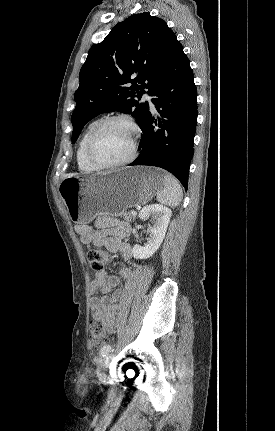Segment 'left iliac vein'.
Returning a JSON list of instances; mask_svg holds the SVG:
<instances>
[{
  "instance_id": "left-iliac-vein-1",
  "label": "left iliac vein",
  "mask_w": 275,
  "mask_h": 431,
  "mask_svg": "<svg viewBox=\"0 0 275 431\" xmlns=\"http://www.w3.org/2000/svg\"><path fill=\"white\" fill-rule=\"evenodd\" d=\"M110 360H111V356L107 355L99 361L98 368H97V376L100 380L105 379L106 370L109 366Z\"/></svg>"
}]
</instances>
